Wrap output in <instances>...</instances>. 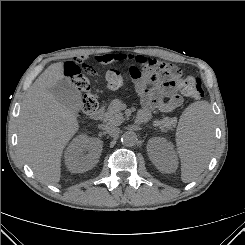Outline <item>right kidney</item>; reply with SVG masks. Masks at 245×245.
Segmentation results:
<instances>
[{"label": "right kidney", "instance_id": "1", "mask_svg": "<svg viewBox=\"0 0 245 245\" xmlns=\"http://www.w3.org/2000/svg\"><path fill=\"white\" fill-rule=\"evenodd\" d=\"M103 142L85 134L72 140L65 151V164L70 172L83 173L92 169L99 161Z\"/></svg>", "mask_w": 245, "mask_h": 245}]
</instances>
